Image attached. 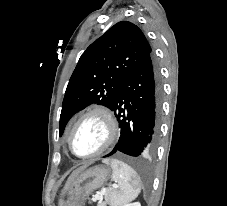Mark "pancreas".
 <instances>
[{
    "instance_id": "cf45deb5",
    "label": "pancreas",
    "mask_w": 227,
    "mask_h": 206,
    "mask_svg": "<svg viewBox=\"0 0 227 206\" xmlns=\"http://www.w3.org/2000/svg\"><path fill=\"white\" fill-rule=\"evenodd\" d=\"M97 206H106V203H99Z\"/></svg>"
}]
</instances>
